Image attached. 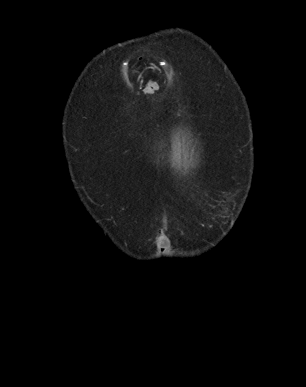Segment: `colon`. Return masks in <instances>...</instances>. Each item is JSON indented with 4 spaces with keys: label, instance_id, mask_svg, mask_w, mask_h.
<instances>
[{
    "label": "colon",
    "instance_id": "colon-1",
    "mask_svg": "<svg viewBox=\"0 0 306 387\" xmlns=\"http://www.w3.org/2000/svg\"><path fill=\"white\" fill-rule=\"evenodd\" d=\"M159 90V85L157 82H149L145 87V93L147 95H153Z\"/></svg>",
    "mask_w": 306,
    "mask_h": 387
}]
</instances>
